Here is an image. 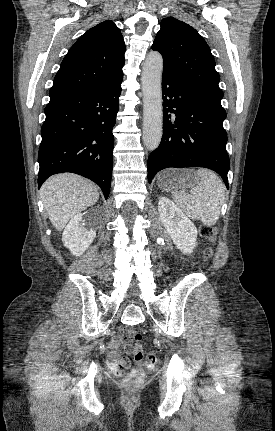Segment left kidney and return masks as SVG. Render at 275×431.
Segmentation results:
<instances>
[{"mask_svg":"<svg viewBox=\"0 0 275 431\" xmlns=\"http://www.w3.org/2000/svg\"><path fill=\"white\" fill-rule=\"evenodd\" d=\"M160 219L176 247L190 254L197 246V229L193 222L167 197L158 202Z\"/></svg>","mask_w":275,"mask_h":431,"instance_id":"5707ae66","label":"left kidney"}]
</instances>
